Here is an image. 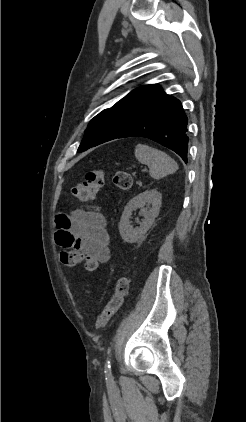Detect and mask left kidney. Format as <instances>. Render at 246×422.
Instances as JSON below:
<instances>
[{
    "label": "left kidney",
    "mask_w": 246,
    "mask_h": 422,
    "mask_svg": "<svg viewBox=\"0 0 246 422\" xmlns=\"http://www.w3.org/2000/svg\"><path fill=\"white\" fill-rule=\"evenodd\" d=\"M161 202L162 195L156 189L140 193L128 202L119 223V233L125 242L135 243L145 237L159 214ZM149 205H151V208L148 209ZM145 206L147 207L145 208ZM138 208L141 209L140 214L144 219L139 222V227L133 228L130 224V218L132 212Z\"/></svg>",
    "instance_id": "left-kidney-1"
}]
</instances>
